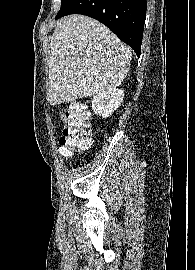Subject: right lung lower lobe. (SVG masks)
<instances>
[{"label":"right lung lower lobe","instance_id":"1","mask_svg":"<svg viewBox=\"0 0 195 270\" xmlns=\"http://www.w3.org/2000/svg\"><path fill=\"white\" fill-rule=\"evenodd\" d=\"M146 0H75L56 19L82 14L92 17L113 31L140 56L146 17Z\"/></svg>","mask_w":195,"mask_h":270}]
</instances>
